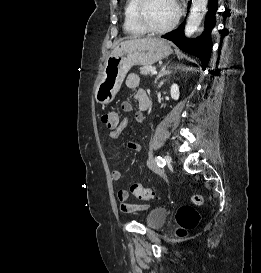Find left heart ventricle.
Here are the masks:
<instances>
[{
	"label": "left heart ventricle",
	"mask_w": 261,
	"mask_h": 273,
	"mask_svg": "<svg viewBox=\"0 0 261 273\" xmlns=\"http://www.w3.org/2000/svg\"><path fill=\"white\" fill-rule=\"evenodd\" d=\"M176 13L174 0H149L143 11V17L151 26L164 27L174 20Z\"/></svg>",
	"instance_id": "b2bd125f"
}]
</instances>
